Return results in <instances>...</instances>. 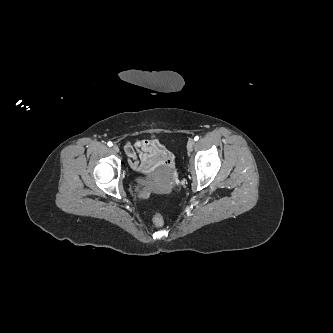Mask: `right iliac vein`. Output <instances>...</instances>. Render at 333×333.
Returning <instances> with one entry per match:
<instances>
[{
  "label": "right iliac vein",
  "mask_w": 333,
  "mask_h": 333,
  "mask_svg": "<svg viewBox=\"0 0 333 333\" xmlns=\"http://www.w3.org/2000/svg\"><path fill=\"white\" fill-rule=\"evenodd\" d=\"M112 149L114 152H119V147L117 145H113Z\"/></svg>",
  "instance_id": "63e3f726"
}]
</instances>
